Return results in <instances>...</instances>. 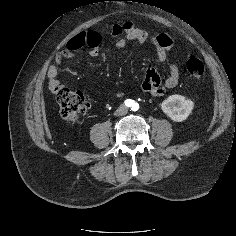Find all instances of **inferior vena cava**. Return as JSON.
I'll return each mask as SVG.
<instances>
[{
  "mask_svg": "<svg viewBox=\"0 0 236 236\" xmlns=\"http://www.w3.org/2000/svg\"><path fill=\"white\" fill-rule=\"evenodd\" d=\"M128 112V108L124 105H121L115 112V115H125Z\"/></svg>",
  "mask_w": 236,
  "mask_h": 236,
  "instance_id": "obj_1",
  "label": "inferior vena cava"
}]
</instances>
